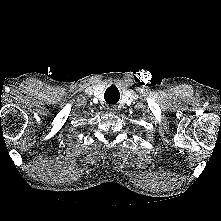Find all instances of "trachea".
Instances as JSON below:
<instances>
[{"instance_id":"3493384b","label":"trachea","mask_w":221,"mask_h":221,"mask_svg":"<svg viewBox=\"0 0 221 221\" xmlns=\"http://www.w3.org/2000/svg\"><path fill=\"white\" fill-rule=\"evenodd\" d=\"M105 101L109 104H115L120 98V94L116 86H110L104 94Z\"/></svg>"}]
</instances>
